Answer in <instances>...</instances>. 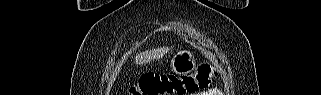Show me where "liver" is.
<instances>
[{
  "mask_svg": "<svg viewBox=\"0 0 321 95\" xmlns=\"http://www.w3.org/2000/svg\"><path fill=\"white\" fill-rule=\"evenodd\" d=\"M168 48L162 47L136 54L135 63L139 65L146 64L154 59L160 58L168 52Z\"/></svg>",
  "mask_w": 321,
  "mask_h": 95,
  "instance_id": "6515ba94",
  "label": "liver"
}]
</instances>
